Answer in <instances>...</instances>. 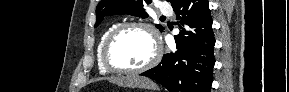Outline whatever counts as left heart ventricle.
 Returning a JSON list of instances; mask_svg holds the SVG:
<instances>
[{"instance_id":"left-heart-ventricle-1","label":"left heart ventricle","mask_w":289,"mask_h":92,"mask_svg":"<svg viewBox=\"0 0 289 92\" xmlns=\"http://www.w3.org/2000/svg\"><path fill=\"white\" fill-rule=\"evenodd\" d=\"M154 53L149 33L142 28H129L115 40L110 57L114 64L125 68H137L147 63Z\"/></svg>"}]
</instances>
